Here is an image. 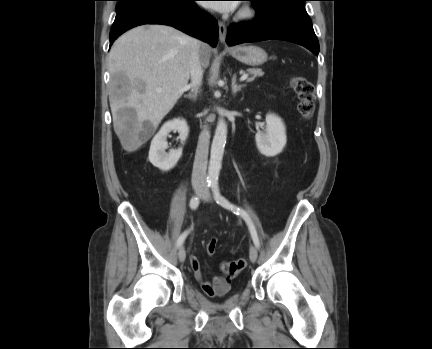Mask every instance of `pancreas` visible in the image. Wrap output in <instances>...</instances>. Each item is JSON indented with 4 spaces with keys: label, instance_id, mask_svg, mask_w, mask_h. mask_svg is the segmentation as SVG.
Segmentation results:
<instances>
[{
    "label": "pancreas",
    "instance_id": "cf45deb5",
    "mask_svg": "<svg viewBox=\"0 0 432 349\" xmlns=\"http://www.w3.org/2000/svg\"><path fill=\"white\" fill-rule=\"evenodd\" d=\"M247 72L252 74V77H250L247 80L248 82L253 81L256 77L263 76V74H264L261 69H255V68H249V69H247Z\"/></svg>",
    "mask_w": 432,
    "mask_h": 349
}]
</instances>
